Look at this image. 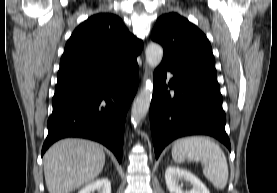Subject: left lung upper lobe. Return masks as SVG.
Returning <instances> with one entry per match:
<instances>
[{
	"label": "left lung upper lobe",
	"instance_id": "obj_1",
	"mask_svg": "<svg viewBox=\"0 0 277 193\" xmlns=\"http://www.w3.org/2000/svg\"><path fill=\"white\" fill-rule=\"evenodd\" d=\"M152 40L163 47L161 65L182 72L217 75L208 39L195 25L177 13L164 14L157 20Z\"/></svg>",
	"mask_w": 277,
	"mask_h": 193
}]
</instances>
